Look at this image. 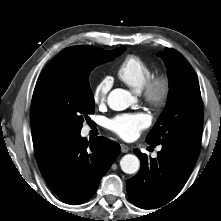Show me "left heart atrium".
Segmentation results:
<instances>
[{
    "mask_svg": "<svg viewBox=\"0 0 221 221\" xmlns=\"http://www.w3.org/2000/svg\"><path fill=\"white\" fill-rule=\"evenodd\" d=\"M150 118L144 113H129L118 115L108 122L110 130L121 138L132 140L138 136L140 131L148 127Z\"/></svg>",
    "mask_w": 221,
    "mask_h": 221,
    "instance_id": "left-heart-atrium-1",
    "label": "left heart atrium"
}]
</instances>
